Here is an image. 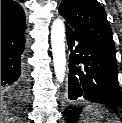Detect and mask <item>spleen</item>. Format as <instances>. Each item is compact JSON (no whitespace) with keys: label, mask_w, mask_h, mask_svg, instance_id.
I'll return each instance as SVG.
<instances>
[{"label":"spleen","mask_w":122,"mask_h":123,"mask_svg":"<svg viewBox=\"0 0 122 123\" xmlns=\"http://www.w3.org/2000/svg\"><path fill=\"white\" fill-rule=\"evenodd\" d=\"M108 116V112L98 105H88L84 108L80 123H102V119ZM108 123L110 121L108 120Z\"/></svg>","instance_id":"3e777b00"}]
</instances>
